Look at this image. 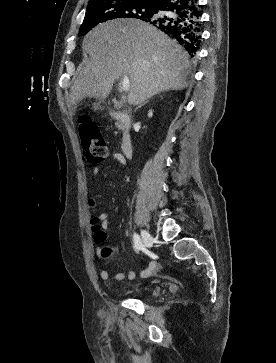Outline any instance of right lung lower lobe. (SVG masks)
Masks as SVG:
<instances>
[{
    "mask_svg": "<svg viewBox=\"0 0 276 363\" xmlns=\"http://www.w3.org/2000/svg\"><path fill=\"white\" fill-rule=\"evenodd\" d=\"M160 16L144 21L176 39L189 53L196 56L201 39V13L198 0H164L158 7Z\"/></svg>",
    "mask_w": 276,
    "mask_h": 363,
    "instance_id": "obj_1",
    "label": "right lung lower lobe"
}]
</instances>
